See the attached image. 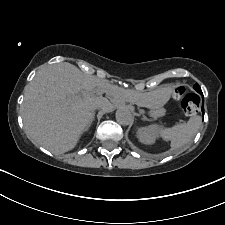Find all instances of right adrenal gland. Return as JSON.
Here are the masks:
<instances>
[{"mask_svg": "<svg viewBox=\"0 0 225 225\" xmlns=\"http://www.w3.org/2000/svg\"><path fill=\"white\" fill-rule=\"evenodd\" d=\"M94 119H95V113L93 114L92 122L94 121ZM92 122L87 126L86 130L90 127V125L92 124Z\"/></svg>", "mask_w": 225, "mask_h": 225, "instance_id": "right-adrenal-gland-1", "label": "right adrenal gland"}]
</instances>
